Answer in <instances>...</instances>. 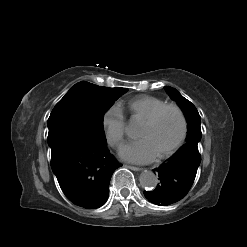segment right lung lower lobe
<instances>
[{
  "label": "right lung lower lobe",
  "mask_w": 247,
  "mask_h": 247,
  "mask_svg": "<svg viewBox=\"0 0 247 247\" xmlns=\"http://www.w3.org/2000/svg\"><path fill=\"white\" fill-rule=\"evenodd\" d=\"M51 168L66 197L75 205L95 209L105 204L109 182L120 163L106 144L72 127L49 129Z\"/></svg>",
  "instance_id": "right-lung-lower-lobe-1"
}]
</instances>
